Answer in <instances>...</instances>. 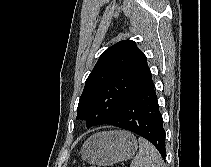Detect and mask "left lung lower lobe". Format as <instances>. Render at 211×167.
I'll return each instance as SVG.
<instances>
[{"instance_id": "left-lung-lower-lobe-1", "label": "left lung lower lobe", "mask_w": 211, "mask_h": 167, "mask_svg": "<svg viewBox=\"0 0 211 167\" xmlns=\"http://www.w3.org/2000/svg\"><path fill=\"white\" fill-rule=\"evenodd\" d=\"M134 132L150 141L166 157L165 130L153 81L134 94L107 123Z\"/></svg>"}]
</instances>
